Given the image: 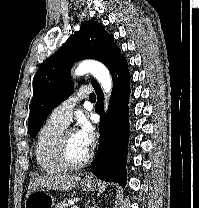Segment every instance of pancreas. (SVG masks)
<instances>
[{
	"mask_svg": "<svg viewBox=\"0 0 199 208\" xmlns=\"http://www.w3.org/2000/svg\"><path fill=\"white\" fill-rule=\"evenodd\" d=\"M71 199H66L61 203H58L55 208H68L71 206Z\"/></svg>",
	"mask_w": 199,
	"mask_h": 208,
	"instance_id": "cf45deb5",
	"label": "pancreas"
}]
</instances>
